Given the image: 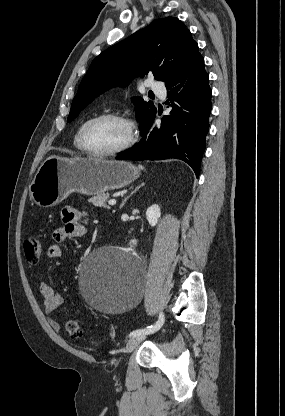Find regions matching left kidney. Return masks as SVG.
<instances>
[{"label": "left kidney", "instance_id": "obj_1", "mask_svg": "<svg viewBox=\"0 0 285 416\" xmlns=\"http://www.w3.org/2000/svg\"><path fill=\"white\" fill-rule=\"evenodd\" d=\"M160 216L161 212L157 204H153V206H150V208H148L146 212V218L150 226H156V224H158ZM130 244H132V246H135V244H137V240H131Z\"/></svg>", "mask_w": 285, "mask_h": 416}]
</instances>
